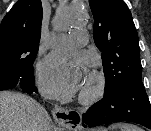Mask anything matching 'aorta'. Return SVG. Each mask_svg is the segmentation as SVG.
<instances>
[{"label":"aorta","mask_w":151,"mask_h":131,"mask_svg":"<svg viewBox=\"0 0 151 131\" xmlns=\"http://www.w3.org/2000/svg\"><path fill=\"white\" fill-rule=\"evenodd\" d=\"M76 25V21L73 19H66L62 22V27L63 28H70V27H74Z\"/></svg>","instance_id":"obj_1"}]
</instances>
